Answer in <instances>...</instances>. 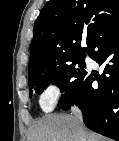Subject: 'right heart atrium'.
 Returning a JSON list of instances; mask_svg holds the SVG:
<instances>
[{
	"mask_svg": "<svg viewBox=\"0 0 119 141\" xmlns=\"http://www.w3.org/2000/svg\"><path fill=\"white\" fill-rule=\"evenodd\" d=\"M61 94L60 87L57 83L51 82L46 85L40 95V104L42 108H51L59 99Z\"/></svg>",
	"mask_w": 119,
	"mask_h": 141,
	"instance_id": "1",
	"label": "right heart atrium"
}]
</instances>
